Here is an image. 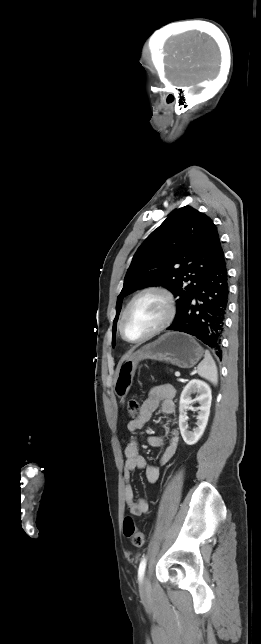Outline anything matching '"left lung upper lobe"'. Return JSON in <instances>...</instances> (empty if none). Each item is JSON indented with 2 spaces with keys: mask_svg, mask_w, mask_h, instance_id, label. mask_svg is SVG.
Segmentation results:
<instances>
[{
  "mask_svg": "<svg viewBox=\"0 0 261 644\" xmlns=\"http://www.w3.org/2000/svg\"><path fill=\"white\" fill-rule=\"evenodd\" d=\"M223 253L216 225L208 216L189 206L173 211L135 253L117 299V314L127 294L162 285L178 297L177 319Z\"/></svg>",
  "mask_w": 261,
  "mask_h": 644,
  "instance_id": "5c2ea615",
  "label": "left lung upper lobe"
}]
</instances>
